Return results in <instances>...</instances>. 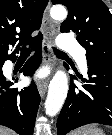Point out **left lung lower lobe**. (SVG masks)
<instances>
[{
  "label": "left lung lower lobe",
  "instance_id": "left-lung-lower-lobe-1",
  "mask_svg": "<svg viewBox=\"0 0 112 135\" xmlns=\"http://www.w3.org/2000/svg\"><path fill=\"white\" fill-rule=\"evenodd\" d=\"M76 74L84 84L71 82L57 121L58 135L91 123L112 126V64H88L89 80ZM77 77L71 75V79Z\"/></svg>",
  "mask_w": 112,
  "mask_h": 135
}]
</instances>
